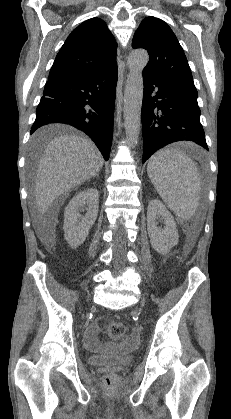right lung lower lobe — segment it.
<instances>
[{
    "mask_svg": "<svg viewBox=\"0 0 231 419\" xmlns=\"http://www.w3.org/2000/svg\"><path fill=\"white\" fill-rule=\"evenodd\" d=\"M117 72L115 67L93 76L48 81L30 134L46 124H70L86 133L108 160Z\"/></svg>",
    "mask_w": 231,
    "mask_h": 419,
    "instance_id": "obj_1",
    "label": "right lung lower lobe"
}]
</instances>
